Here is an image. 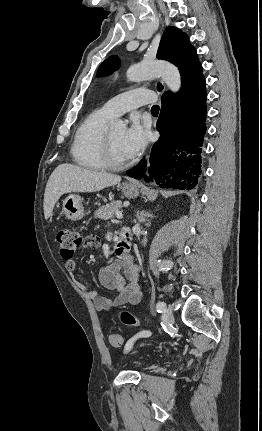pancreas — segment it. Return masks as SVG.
<instances>
[{"label":"pancreas","instance_id":"cf45deb5","mask_svg":"<svg viewBox=\"0 0 262 431\" xmlns=\"http://www.w3.org/2000/svg\"><path fill=\"white\" fill-rule=\"evenodd\" d=\"M121 205V201H113L111 203H108L96 210L94 217L104 220L114 218L116 213L119 212Z\"/></svg>","mask_w":262,"mask_h":431}]
</instances>
